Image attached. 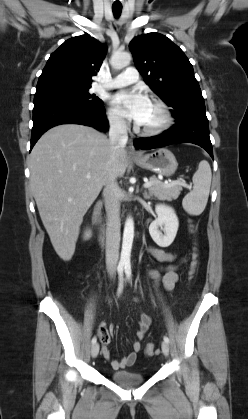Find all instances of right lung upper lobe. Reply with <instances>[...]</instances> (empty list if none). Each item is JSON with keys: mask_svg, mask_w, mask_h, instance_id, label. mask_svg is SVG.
Returning <instances> with one entry per match:
<instances>
[{"mask_svg": "<svg viewBox=\"0 0 248 419\" xmlns=\"http://www.w3.org/2000/svg\"><path fill=\"white\" fill-rule=\"evenodd\" d=\"M106 55V47L88 34L65 41L53 52L39 77L36 92L90 88Z\"/></svg>", "mask_w": 248, "mask_h": 419, "instance_id": "right-lung-upper-lobe-1", "label": "right lung upper lobe"}]
</instances>
